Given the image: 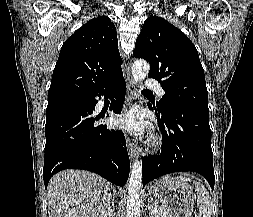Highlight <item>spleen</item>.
<instances>
[{
    "label": "spleen",
    "mask_w": 253,
    "mask_h": 217,
    "mask_svg": "<svg viewBox=\"0 0 253 217\" xmlns=\"http://www.w3.org/2000/svg\"><path fill=\"white\" fill-rule=\"evenodd\" d=\"M176 179L186 182L189 177H176ZM195 191L197 192V206L199 209V216L198 217H211L212 212V202L211 197L207 189L200 183L194 181Z\"/></svg>",
    "instance_id": "spleen-1"
}]
</instances>
